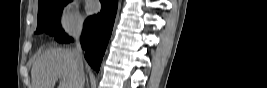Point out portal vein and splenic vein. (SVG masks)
Segmentation results:
<instances>
[{"label":"portal vein and splenic vein","mask_w":267,"mask_h":88,"mask_svg":"<svg viewBox=\"0 0 267 88\" xmlns=\"http://www.w3.org/2000/svg\"><path fill=\"white\" fill-rule=\"evenodd\" d=\"M59 78L62 79L63 81L65 80V77L64 76H60ZM62 87L63 88H66L65 84Z\"/></svg>","instance_id":"portal-vein-and-splenic-vein-1"}]
</instances>
